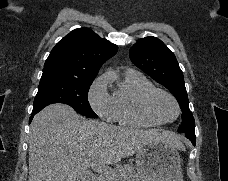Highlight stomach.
Instances as JSON below:
<instances>
[{
    "label": "stomach",
    "mask_w": 228,
    "mask_h": 181,
    "mask_svg": "<svg viewBox=\"0 0 228 181\" xmlns=\"http://www.w3.org/2000/svg\"><path fill=\"white\" fill-rule=\"evenodd\" d=\"M141 181H183L182 161L177 147L164 141H148L135 157Z\"/></svg>",
    "instance_id": "1"
}]
</instances>
